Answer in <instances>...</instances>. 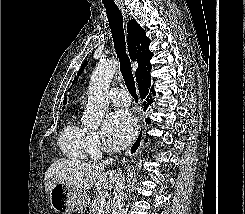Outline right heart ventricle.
I'll return each instance as SVG.
<instances>
[{
    "instance_id": "1",
    "label": "right heart ventricle",
    "mask_w": 245,
    "mask_h": 214,
    "mask_svg": "<svg viewBox=\"0 0 245 214\" xmlns=\"http://www.w3.org/2000/svg\"><path fill=\"white\" fill-rule=\"evenodd\" d=\"M88 131L75 117L64 126L58 138V145L68 159L82 161L86 158Z\"/></svg>"
}]
</instances>
